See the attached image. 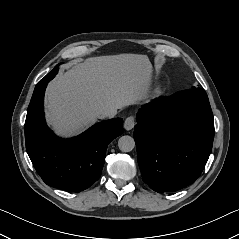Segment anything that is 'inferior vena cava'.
<instances>
[{
	"label": "inferior vena cava",
	"instance_id": "602c4592",
	"mask_svg": "<svg viewBox=\"0 0 239 239\" xmlns=\"http://www.w3.org/2000/svg\"><path fill=\"white\" fill-rule=\"evenodd\" d=\"M116 115V112L114 110H107L100 112L97 117L99 119H106V118H113Z\"/></svg>",
	"mask_w": 239,
	"mask_h": 239
}]
</instances>
